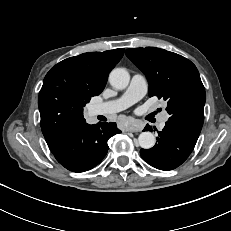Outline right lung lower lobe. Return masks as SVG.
<instances>
[{
  "mask_svg": "<svg viewBox=\"0 0 231 231\" xmlns=\"http://www.w3.org/2000/svg\"><path fill=\"white\" fill-rule=\"evenodd\" d=\"M120 132L116 123H85L65 134L50 150L66 169L84 172L103 160L109 149L107 140Z\"/></svg>",
  "mask_w": 231,
  "mask_h": 231,
  "instance_id": "obj_1",
  "label": "right lung lower lobe"
}]
</instances>
